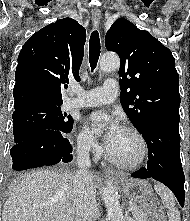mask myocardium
I'll list each match as a JSON object with an SVG mask.
<instances>
[{
  "mask_svg": "<svg viewBox=\"0 0 190 221\" xmlns=\"http://www.w3.org/2000/svg\"><path fill=\"white\" fill-rule=\"evenodd\" d=\"M121 129H124L128 132H131L132 134H134L136 136V138L138 139L140 146H141V152H140V156L139 158L134 161V162H123L118 160L117 158H115L110 152L109 150L106 148L105 149V156L106 158L113 163L114 165H116L117 167L121 168V169H126V170H134V169H138L140 168L146 158H147V154H148V144L147 141L144 137V135L135 127L132 125H123Z\"/></svg>",
  "mask_w": 190,
  "mask_h": 221,
  "instance_id": "1",
  "label": "myocardium"
}]
</instances>
